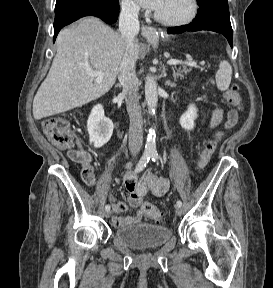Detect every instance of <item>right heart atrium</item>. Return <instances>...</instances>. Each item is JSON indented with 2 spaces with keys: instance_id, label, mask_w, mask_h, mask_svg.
<instances>
[{
  "instance_id": "right-heart-atrium-1",
  "label": "right heart atrium",
  "mask_w": 273,
  "mask_h": 288,
  "mask_svg": "<svg viewBox=\"0 0 273 288\" xmlns=\"http://www.w3.org/2000/svg\"><path fill=\"white\" fill-rule=\"evenodd\" d=\"M120 3L123 13L127 16L135 18L139 15L140 9L133 0H120Z\"/></svg>"
}]
</instances>
